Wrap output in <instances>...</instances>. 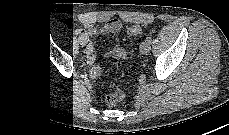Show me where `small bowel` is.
Returning a JSON list of instances; mask_svg holds the SVG:
<instances>
[{
    "label": "small bowel",
    "instance_id": "c3829d8e",
    "mask_svg": "<svg viewBox=\"0 0 229 135\" xmlns=\"http://www.w3.org/2000/svg\"><path fill=\"white\" fill-rule=\"evenodd\" d=\"M104 31L107 33L115 34L117 32V27L113 22H109L104 26Z\"/></svg>",
    "mask_w": 229,
    "mask_h": 135
}]
</instances>
